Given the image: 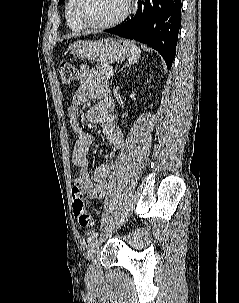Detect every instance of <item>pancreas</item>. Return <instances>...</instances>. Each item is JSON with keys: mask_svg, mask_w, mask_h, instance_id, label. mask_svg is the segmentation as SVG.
Returning <instances> with one entry per match:
<instances>
[{"mask_svg": "<svg viewBox=\"0 0 239 303\" xmlns=\"http://www.w3.org/2000/svg\"><path fill=\"white\" fill-rule=\"evenodd\" d=\"M97 68L100 69L101 77L109 79L113 76V72L109 71L111 66H109L108 64H99Z\"/></svg>", "mask_w": 239, "mask_h": 303, "instance_id": "pancreas-1", "label": "pancreas"}]
</instances>
